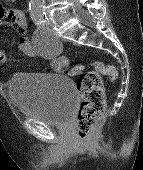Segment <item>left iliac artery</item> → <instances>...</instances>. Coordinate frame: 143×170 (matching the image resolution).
Returning a JSON list of instances; mask_svg holds the SVG:
<instances>
[{
	"label": "left iliac artery",
	"instance_id": "obj_1",
	"mask_svg": "<svg viewBox=\"0 0 143 170\" xmlns=\"http://www.w3.org/2000/svg\"><path fill=\"white\" fill-rule=\"evenodd\" d=\"M47 20H48V18L45 16V18H43V20H42V24L47 25Z\"/></svg>",
	"mask_w": 143,
	"mask_h": 170
}]
</instances>
